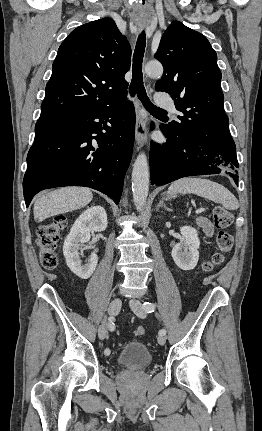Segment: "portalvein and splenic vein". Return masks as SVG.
<instances>
[{
    "label": "portal vein and splenic vein",
    "mask_w": 262,
    "mask_h": 431,
    "mask_svg": "<svg viewBox=\"0 0 262 431\" xmlns=\"http://www.w3.org/2000/svg\"><path fill=\"white\" fill-rule=\"evenodd\" d=\"M201 212H202V209L196 210V213H201Z\"/></svg>",
    "instance_id": "portal-vein-and-splenic-vein-1"
}]
</instances>
